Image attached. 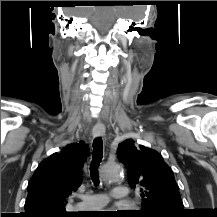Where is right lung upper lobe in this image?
<instances>
[{
  "instance_id": "cb5924a9",
  "label": "right lung upper lobe",
  "mask_w": 217,
  "mask_h": 217,
  "mask_svg": "<svg viewBox=\"0 0 217 217\" xmlns=\"http://www.w3.org/2000/svg\"><path fill=\"white\" fill-rule=\"evenodd\" d=\"M88 153V146L80 141L43 160L29 181L23 217L73 215L65 205L82 183L80 172Z\"/></svg>"
}]
</instances>
